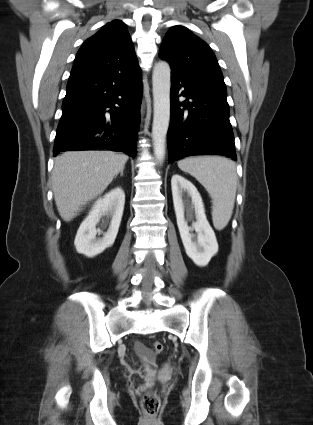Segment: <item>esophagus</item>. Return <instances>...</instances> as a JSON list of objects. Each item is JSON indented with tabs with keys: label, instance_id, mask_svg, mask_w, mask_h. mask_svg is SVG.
Returning <instances> with one entry per match:
<instances>
[{
	"label": "esophagus",
	"instance_id": "1",
	"mask_svg": "<svg viewBox=\"0 0 313 425\" xmlns=\"http://www.w3.org/2000/svg\"><path fill=\"white\" fill-rule=\"evenodd\" d=\"M144 107H145V103L143 102L142 108H141V114H144Z\"/></svg>",
	"mask_w": 313,
	"mask_h": 425
}]
</instances>
